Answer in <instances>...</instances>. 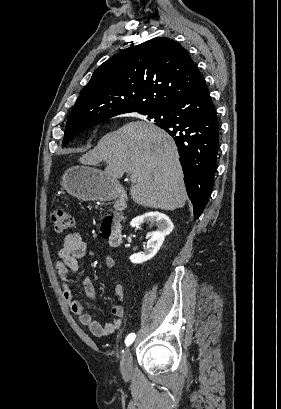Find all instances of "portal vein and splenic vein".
<instances>
[{
    "label": "portal vein and splenic vein",
    "mask_w": 281,
    "mask_h": 409,
    "mask_svg": "<svg viewBox=\"0 0 281 409\" xmlns=\"http://www.w3.org/2000/svg\"><path fill=\"white\" fill-rule=\"evenodd\" d=\"M128 183L129 184H134L135 183V178L134 177H129L128 178Z\"/></svg>",
    "instance_id": "obj_1"
}]
</instances>
